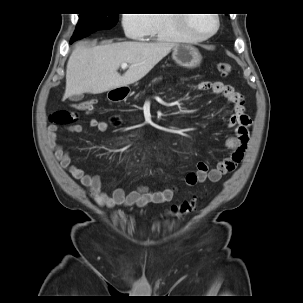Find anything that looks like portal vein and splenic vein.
Returning <instances> with one entry per match:
<instances>
[{"instance_id": "portal-vein-and-splenic-vein-1", "label": "portal vein and splenic vein", "mask_w": 303, "mask_h": 303, "mask_svg": "<svg viewBox=\"0 0 303 303\" xmlns=\"http://www.w3.org/2000/svg\"><path fill=\"white\" fill-rule=\"evenodd\" d=\"M127 67H128V64H127V63H122V64H121V68H122L123 70L127 69Z\"/></svg>"}]
</instances>
